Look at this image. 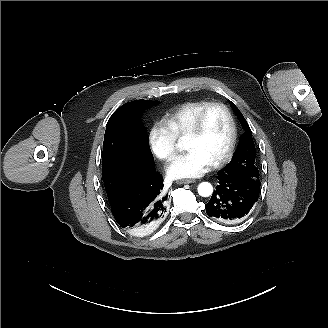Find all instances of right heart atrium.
I'll list each match as a JSON object with an SVG mask.
<instances>
[{"label": "right heart atrium", "mask_w": 328, "mask_h": 328, "mask_svg": "<svg viewBox=\"0 0 328 328\" xmlns=\"http://www.w3.org/2000/svg\"><path fill=\"white\" fill-rule=\"evenodd\" d=\"M148 143L152 153L162 161L171 159L177 152L175 138L161 121L150 125Z\"/></svg>", "instance_id": "d8ad5b80"}]
</instances>
